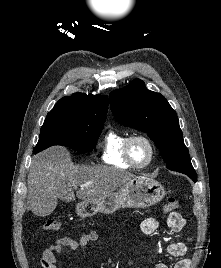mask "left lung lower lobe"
Segmentation results:
<instances>
[{"instance_id": "1", "label": "left lung lower lobe", "mask_w": 221, "mask_h": 268, "mask_svg": "<svg viewBox=\"0 0 221 268\" xmlns=\"http://www.w3.org/2000/svg\"><path fill=\"white\" fill-rule=\"evenodd\" d=\"M184 174L188 175L194 182L197 181V176L195 170L190 172H184Z\"/></svg>"}]
</instances>
